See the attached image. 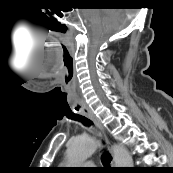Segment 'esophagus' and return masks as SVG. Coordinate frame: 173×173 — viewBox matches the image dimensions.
<instances>
[{"label": "esophagus", "instance_id": "esophagus-1", "mask_svg": "<svg viewBox=\"0 0 173 173\" xmlns=\"http://www.w3.org/2000/svg\"><path fill=\"white\" fill-rule=\"evenodd\" d=\"M82 114H84L85 116L90 118L95 123V125L98 127V129L100 130L101 135L103 136V138L106 141L107 147H108L111 155L113 156L112 144L109 141V139H108V137L105 133L104 127L102 126L101 122L96 118V116L90 111V109L88 107L83 108Z\"/></svg>", "mask_w": 173, "mask_h": 173}]
</instances>
